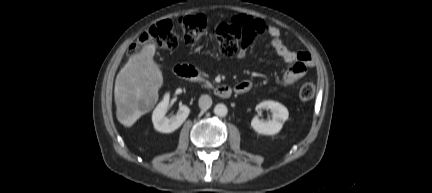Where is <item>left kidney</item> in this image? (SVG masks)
Segmentation results:
<instances>
[{
  "mask_svg": "<svg viewBox=\"0 0 432 193\" xmlns=\"http://www.w3.org/2000/svg\"><path fill=\"white\" fill-rule=\"evenodd\" d=\"M269 109L272 112L271 120H260L255 116L251 121V127L263 135H275L280 132L286 120H288V109L275 101H263L256 106V110Z\"/></svg>",
  "mask_w": 432,
  "mask_h": 193,
  "instance_id": "left-kidney-1",
  "label": "left kidney"
}]
</instances>
